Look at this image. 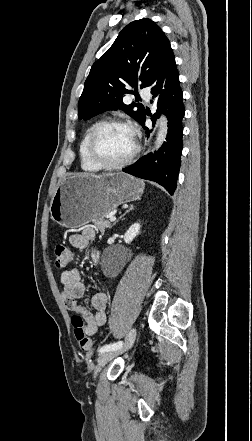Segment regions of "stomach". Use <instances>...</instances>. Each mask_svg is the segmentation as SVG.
<instances>
[{
    "label": "stomach",
    "mask_w": 252,
    "mask_h": 441,
    "mask_svg": "<svg viewBox=\"0 0 252 441\" xmlns=\"http://www.w3.org/2000/svg\"><path fill=\"white\" fill-rule=\"evenodd\" d=\"M142 180L117 172L75 175L55 190L50 203L51 218L66 228H78L103 219L122 203L137 200L144 192Z\"/></svg>",
    "instance_id": "stomach-1"
}]
</instances>
